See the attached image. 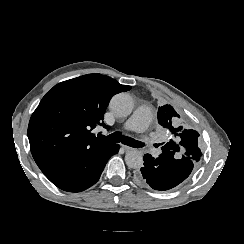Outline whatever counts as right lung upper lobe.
I'll list each match as a JSON object with an SVG mask.
<instances>
[{
    "instance_id": "right-lung-upper-lobe-1",
    "label": "right lung upper lobe",
    "mask_w": 244,
    "mask_h": 244,
    "mask_svg": "<svg viewBox=\"0 0 244 244\" xmlns=\"http://www.w3.org/2000/svg\"><path fill=\"white\" fill-rule=\"evenodd\" d=\"M131 89L101 74H87L55 85L31 116L28 138L40 169L70 159L88 149L103 147L91 133L103 123L111 98Z\"/></svg>"
}]
</instances>
